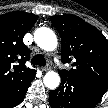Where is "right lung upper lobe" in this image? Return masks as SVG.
Wrapping results in <instances>:
<instances>
[{
	"instance_id": "1",
	"label": "right lung upper lobe",
	"mask_w": 108,
	"mask_h": 108,
	"mask_svg": "<svg viewBox=\"0 0 108 108\" xmlns=\"http://www.w3.org/2000/svg\"><path fill=\"white\" fill-rule=\"evenodd\" d=\"M37 19V15L22 11L0 16V94L19 88L36 74L25 65L29 50L23 37Z\"/></svg>"
}]
</instances>
